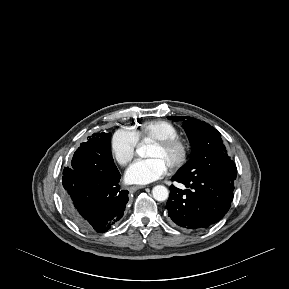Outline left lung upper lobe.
Instances as JSON below:
<instances>
[{
	"instance_id": "5c2ea615",
	"label": "left lung upper lobe",
	"mask_w": 289,
	"mask_h": 289,
	"mask_svg": "<svg viewBox=\"0 0 289 289\" xmlns=\"http://www.w3.org/2000/svg\"><path fill=\"white\" fill-rule=\"evenodd\" d=\"M168 119L183 121L192 148L191 161L178 174L187 179L214 176L234 185L237 168L227 154L220 132L204 121L189 116H169Z\"/></svg>"
}]
</instances>
